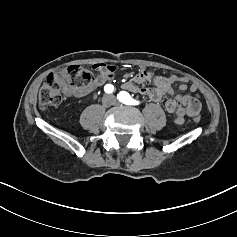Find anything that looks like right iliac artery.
<instances>
[{"label": "right iliac artery", "instance_id": "82829eb1", "mask_svg": "<svg viewBox=\"0 0 237 237\" xmlns=\"http://www.w3.org/2000/svg\"><path fill=\"white\" fill-rule=\"evenodd\" d=\"M104 91L106 92V93H112L113 91H114V86L113 85H111V84H107V85H105V87H104Z\"/></svg>", "mask_w": 237, "mask_h": 237}]
</instances>
